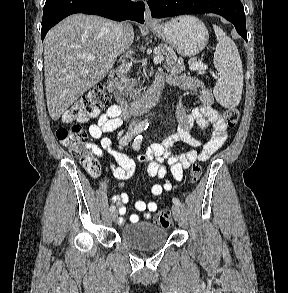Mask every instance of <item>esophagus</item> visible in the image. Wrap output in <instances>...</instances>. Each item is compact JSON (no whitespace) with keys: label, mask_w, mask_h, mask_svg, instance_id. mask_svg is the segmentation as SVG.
<instances>
[{"label":"esophagus","mask_w":288,"mask_h":293,"mask_svg":"<svg viewBox=\"0 0 288 293\" xmlns=\"http://www.w3.org/2000/svg\"><path fill=\"white\" fill-rule=\"evenodd\" d=\"M144 17H145V23L147 25H151V24L156 23L155 19L151 16V11H150L149 7L147 6V4H146V7H145Z\"/></svg>","instance_id":"34e87169"}]
</instances>
